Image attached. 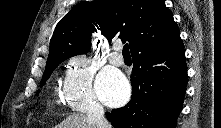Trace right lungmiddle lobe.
<instances>
[{
	"label": "right lung middle lobe",
	"instance_id": "right-lung-middle-lobe-1",
	"mask_svg": "<svg viewBox=\"0 0 221 128\" xmlns=\"http://www.w3.org/2000/svg\"><path fill=\"white\" fill-rule=\"evenodd\" d=\"M67 58H64L62 60L50 63L46 65L45 72L43 74L42 80H41V86H43L46 82V80L50 77L51 73L54 71V69L64 60Z\"/></svg>",
	"mask_w": 221,
	"mask_h": 128
}]
</instances>
